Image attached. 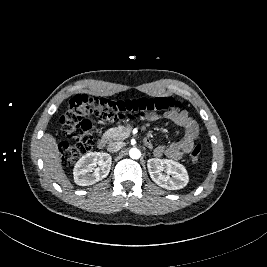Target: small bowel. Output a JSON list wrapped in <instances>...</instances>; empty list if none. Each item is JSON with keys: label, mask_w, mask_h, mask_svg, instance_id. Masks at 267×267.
I'll list each match as a JSON object with an SVG mask.
<instances>
[{"label": "small bowel", "mask_w": 267, "mask_h": 267, "mask_svg": "<svg viewBox=\"0 0 267 267\" xmlns=\"http://www.w3.org/2000/svg\"><path fill=\"white\" fill-rule=\"evenodd\" d=\"M167 119L180 126L183 129L182 138L170 144H159L153 146L150 138L145 139V144L148 147L153 148L156 156H167L171 159H182L187 153H189L198 137V125L196 121L185 110H173L166 116Z\"/></svg>", "instance_id": "c3829d8e"}]
</instances>
